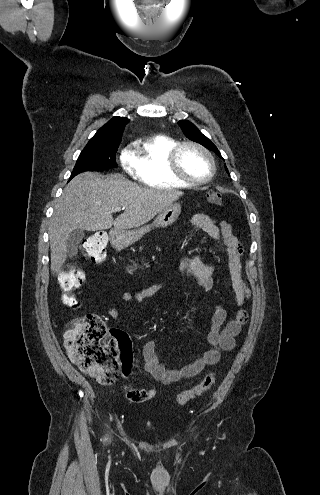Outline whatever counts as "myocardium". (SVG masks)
Here are the masks:
<instances>
[{
    "mask_svg": "<svg viewBox=\"0 0 320 495\" xmlns=\"http://www.w3.org/2000/svg\"><path fill=\"white\" fill-rule=\"evenodd\" d=\"M187 147L195 148V149L199 150L200 152H202L206 156V158L210 164V171H209V174L207 175V177H205L203 179H193V178L188 177L182 171V168L180 165V156H181L182 151ZM168 165H169V169H170V172L172 173V175L174 177H176L177 179H179L180 181L186 183L189 186H197V185L206 184L214 177V175L216 173V163H215V160H214L212 153L206 147H204L200 143H197L194 141H183V142L178 143L170 151V153L168 155Z\"/></svg>",
    "mask_w": 320,
    "mask_h": 495,
    "instance_id": "1",
    "label": "myocardium"
}]
</instances>
